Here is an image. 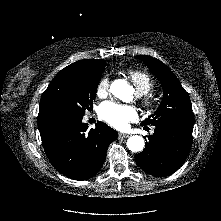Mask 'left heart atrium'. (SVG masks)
<instances>
[{
	"mask_svg": "<svg viewBox=\"0 0 221 221\" xmlns=\"http://www.w3.org/2000/svg\"><path fill=\"white\" fill-rule=\"evenodd\" d=\"M99 113L103 120L120 130L127 128L129 122L137 118V112L133 107L112 102L103 103Z\"/></svg>",
	"mask_w": 221,
	"mask_h": 221,
	"instance_id": "1",
	"label": "left heart atrium"
}]
</instances>
